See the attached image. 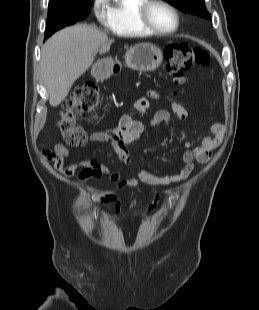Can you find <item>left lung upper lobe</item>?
<instances>
[{
    "label": "left lung upper lobe",
    "instance_id": "1",
    "mask_svg": "<svg viewBox=\"0 0 259 310\" xmlns=\"http://www.w3.org/2000/svg\"><path fill=\"white\" fill-rule=\"evenodd\" d=\"M183 12L210 18L205 6V0H165Z\"/></svg>",
    "mask_w": 259,
    "mask_h": 310
}]
</instances>
